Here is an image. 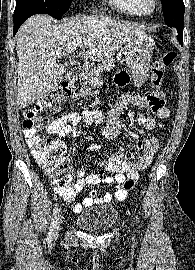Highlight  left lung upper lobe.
Masks as SVG:
<instances>
[{"mask_svg":"<svg viewBox=\"0 0 195 270\" xmlns=\"http://www.w3.org/2000/svg\"><path fill=\"white\" fill-rule=\"evenodd\" d=\"M165 24L169 27L183 25L185 6L183 0H161Z\"/></svg>","mask_w":195,"mask_h":270,"instance_id":"5c2ea615","label":"left lung upper lobe"}]
</instances>
